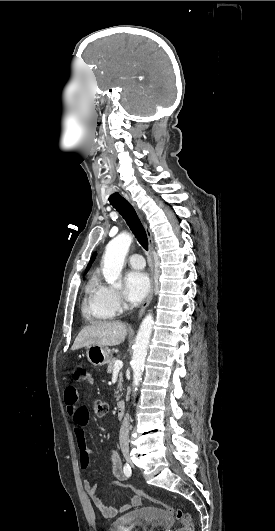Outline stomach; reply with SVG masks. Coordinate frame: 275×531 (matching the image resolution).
<instances>
[{
    "instance_id": "0dacf381",
    "label": "stomach",
    "mask_w": 275,
    "mask_h": 531,
    "mask_svg": "<svg viewBox=\"0 0 275 531\" xmlns=\"http://www.w3.org/2000/svg\"><path fill=\"white\" fill-rule=\"evenodd\" d=\"M87 359L94 367H102L112 359V353L108 347L103 345H89L86 351Z\"/></svg>"
}]
</instances>
